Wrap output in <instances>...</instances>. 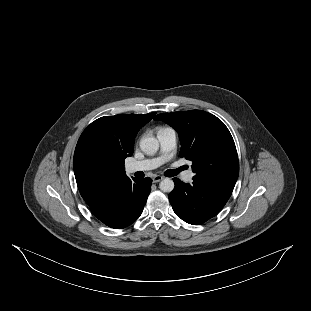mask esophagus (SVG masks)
Masks as SVG:
<instances>
[{"instance_id": "1", "label": "esophagus", "mask_w": 311, "mask_h": 311, "mask_svg": "<svg viewBox=\"0 0 311 311\" xmlns=\"http://www.w3.org/2000/svg\"><path fill=\"white\" fill-rule=\"evenodd\" d=\"M163 176H161V175H155L154 177H153V182L154 183H158V182H160L161 180H163Z\"/></svg>"}]
</instances>
